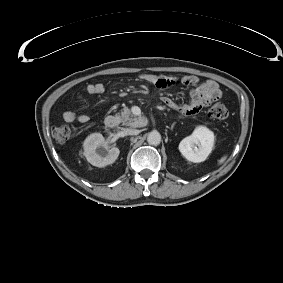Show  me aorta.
I'll use <instances>...</instances> for the list:
<instances>
[{
  "instance_id": "obj_1",
  "label": "aorta",
  "mask_w": 283,
  "mask_h": 283,
  "mask_svg": "<svg viewBox=\"0 0 283 283\" xmlns=\"http://www.w3.org/2000/svg\"><path fill=\"white\" fill-rule=\"evenodd\" d=\"M147 142L150 145L157 146L161 142V135L158 131H151L147 136Z\"/></svg>"
}]
</instances>
